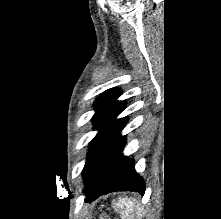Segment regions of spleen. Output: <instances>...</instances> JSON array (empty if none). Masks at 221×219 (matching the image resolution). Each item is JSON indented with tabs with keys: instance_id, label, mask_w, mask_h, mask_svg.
<instances>
[{
	"instance_id": "1",
	"label": "spleen",
	"mask_w": 221,
	"mask_h": 219,
	"mask_svg": "<svg viewBox=\"0 0 221 219\" xmlns=\"http://www.w3.org/2000/svg\"><path fill=\"white\" fill-rule=\"evenodd\" d=\"M113 208L120 214L121 219H141L143 208L135 198H119L113 203Z\"/></svg>"
}]
</instances>
